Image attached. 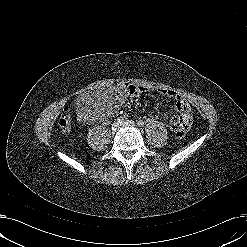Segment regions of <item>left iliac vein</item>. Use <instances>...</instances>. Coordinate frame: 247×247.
<instances>
[{
  "mask_svg": "<svg viewBox=\"0 0 247 247\" xmlns=\"http://www.w3.org/2000/svg\"><path fill=\"white\" fill-rule=\"evenodd\" d=\"M124 126H134V122L131 121H127L125 123H123Z\"/></svg>",
  "mask_w": 247,
  "mask_h": 247,
  "instance_id": "1",
  "label": "left iliac vein"
}]
</instances>
